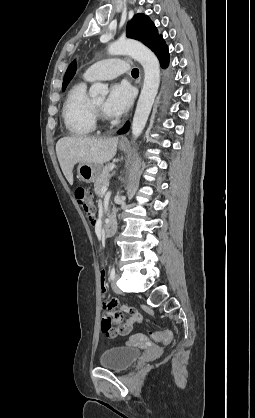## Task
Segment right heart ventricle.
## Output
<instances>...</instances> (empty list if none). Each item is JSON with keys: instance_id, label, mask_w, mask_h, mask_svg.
Returning a JSON list of instances; mask_svg holds the SVG:
<instances>
[{"instance_id": "right-heart-ventricle-1", "label": "right heart ventricle", "mask_w": 255, "mask_h": 418, "mask_svg": "<svg viewBox=\"0 0 255 418\" xmlns=\"http://www.w3.org/2000/svg\"><path fill=\"white\" fill-rule=\"evenodd\" d=\"M87 80L75 83L68 91L62 117L66 129L74 136H87L94 132L96 117L91 99L87 95Z\"/></svg>"}]
</instances>
